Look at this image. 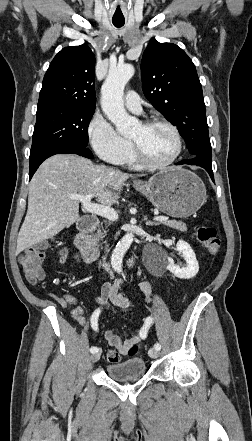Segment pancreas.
Instances as JSON below:
<instances>
[{
    "instance_id": "obj_1",
    "label": "pancreas",
    "mask_w": 252,
    "mask_h": 441,
    "mask_svg": "<svg viewBox=\"0 0 252 441\" xmlns=\"http://www.w3.org/2000/svg\"><path fill=\"white\" fill-rule=\"evenodd\" d=\"M164 224L167 225V226H169V227H171V228H173V229L179 230V231H181V232H186V231H187V226H186V224H184V223H182V222H178V221L172 220V221H165ZM103 237H104V233L101 232V231L99 230V231L94 235L93 240L97 243V242H99V240H101Z\"/></svg>"
}]
</instances>
